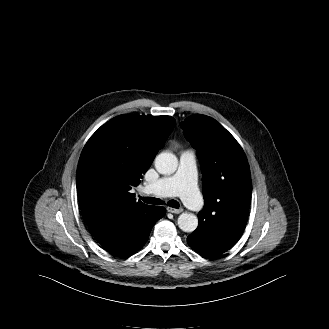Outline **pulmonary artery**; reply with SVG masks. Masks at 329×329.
<instances>
[{
    "label": "pulmonary artery",
    "mask_w": 329,
    "mask_h": 329,
    "mask_svg": "<svg viewBox=\"0 0 329 329\" xmlns=\"http://www.w3.org/2000/svg\"><path fill=\"white\" fill-rule=\"evenodd\" d=\"M145 192L163 197L180 196L191 210H202L204 203L196 185L195 153L192 150L181 152L177 171L147 186Z\"/></svg>",
    "instance_id": "1"
}]
</instances>
